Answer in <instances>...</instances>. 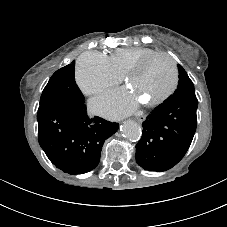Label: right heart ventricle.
<instances>
[{"instance_id":"e07e8e85","label":"right heart ventricle","mask_w":227,"mask_h":227,"mask_svg":"<svg viewBox=\"0 0 227 227\" xmlns=\"http://www.w3.org/2000/svg\"><path fill=\"white\" fill-rule=\"evenodd\" d=\"M156 52L148 47H119L107 56L113 70L123 76L126 71L144 56Z\"/></svg>"}]
</instances>
